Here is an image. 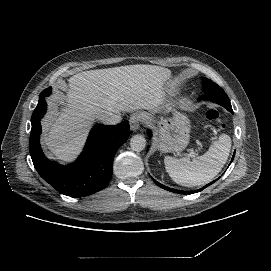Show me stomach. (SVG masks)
I'll return each instance as SVG.
<instances>
[{
  "label": "stomach",
  "instance_id": "0dacf381",
  "mask_svg": "<svg viewBox=\"0 0 271 271\" xmlns=\"http://www.w3.org/2000/svg\"><path fill=\"white\" fill-rule=\"evenodd\" d=\"M157 132L156 145L162 152H181L189 143L190 120L176 112L172 118L158 121Z\"/></svg>",
  "mask_w": 271,
  "mask_h": 271
}]
</instances>
